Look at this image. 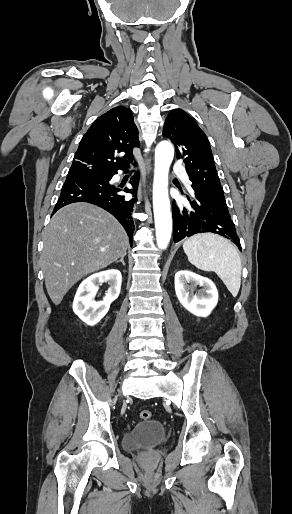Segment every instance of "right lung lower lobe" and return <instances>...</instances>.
Wrapping results in <instances>:
<instances>
[{
	"mask_svg": "<svg viewBox=\"0 0 292 514\" xmlns=\"http://www.w3.org/2000/svg\"><path fill=\"white\" fill-rule=\"evenodd\" d=\"M136 165V163H135ZM125 172L128 170L123 169ZM117 172L102 175H68L61 189L60 197L56 203L53 214L63 206L74 202H88L111 213L125 228L130 243L132 244V236L135 229L131 212L135 204L134 199H125L124 195L119 194L120 191L136 194L139 173L136 172L131 178L132 189H120L109 184L113 175Z\"/></svg>",
	"mask_w": 292,
	"mask_h": 514,
	"instance_id": "1",
	"label": "right lung lower lobe"
}]
</instances>
